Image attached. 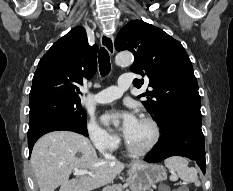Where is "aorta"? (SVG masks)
<instances>
[{
  "instance_id": "aorta-1",
  "label": "aorta",
  "mask_w": 233,
  "mask_h": 191,
  "mask_svg": "<svg viewBox=\"0 0 233 191\" xmlns=\"http://www.w3.org/2000/svg\"><path fill=\"white\" fill-rule=\"evenodd\" d=\"M133 61H134V57H133L132 53H130L128 51L119 52L115 58V62L119 66L131 65L133 63Z\"/></svg>"
}]
</instances>
